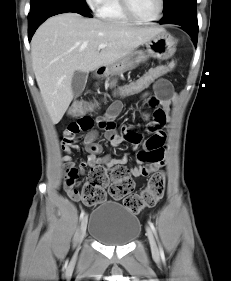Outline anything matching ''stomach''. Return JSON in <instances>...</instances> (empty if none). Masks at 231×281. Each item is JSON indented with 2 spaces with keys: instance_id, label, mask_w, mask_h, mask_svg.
I'll return each mask as SVG.
<instances>
[{
  "instance_id": "stomach-1",
  "label": "stomach",
  "mask_w": 231,
  "mask_h": 281,
  "mask_svg": "<svg viewBox=\"0 0 231 281\" xmlns=\"http://www.w3.org/2000/svg\"><path fill=\"white\" fill-rule=\"evenodd\" d=\"M146 50H134L129 55L123 57L119 61L109 65L107 72L112 74L122 73L124 71L135 69L141 63H144L149 57L158 59H169L176 51V43L166 31H163L147 42H145Z\"/></svg>"
}]
</instances>
